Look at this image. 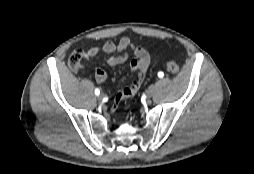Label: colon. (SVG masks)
<instances>
[{
  "instance_id": "1",
  "label": "colon",
  "mask_w": 254,
  "mask_h": 174,
  "mask_svg": "<svg viewBox=\"0 0 254 174\" xmlns=\"http://www.w3.org/2000/svg\"><path fill=\"white\" fill-rule=\"evenodd\" d=\"M85 59V52L81 49H75L71 52L68 57V66L72 70H78L82 67L83 61ZM167 70L172 74H177L179 72V66L173 61H169L166 64Z\"/></svg>"
}]
</instances>
